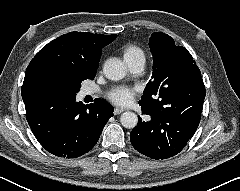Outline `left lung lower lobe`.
<instances>
[{"instance_id": "0a47b994", "label": "left lung lower lobe", "mask_w": 240, "mask_h": 191, "mask_svg": "<svg viewBox=\"0 0 240 191\" xmlns=\"http://www.w3.org/2000/svg\"><path fill=\"white\" fill-rule=\"evenodd\" d=\"M205 86L194 79L187 89L173 98L152 103L139 101L148 117L139 122L130 134L133 147L153 159H166L179 153L192 138L199 125Z\"/></svg>"}]
</instances>
